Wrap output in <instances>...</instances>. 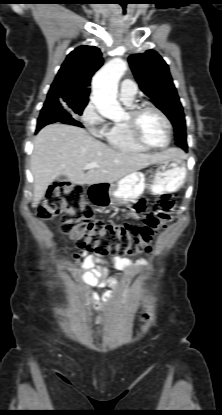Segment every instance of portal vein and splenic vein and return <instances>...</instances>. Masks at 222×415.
<instances>
[{
    "instance_id": "1",
    "label": "portal vein and splenic vein",
    "mask_w": 222,
    "mask_h": 415,
    "mask_svg": "<svg viewBox=\"0 0 222 415\" xmlns=\"http://www.w3.org/2000/svg\"><path fill=\"white\" fill-rule=\"evenodd\" d=\"M95 167H98V164L96 162H91V163L86 164L83 167V169L88 170V169H92V168H95Z\"/></svg>"
}]
</instances>
